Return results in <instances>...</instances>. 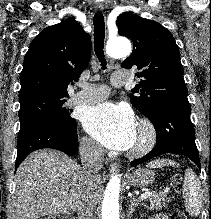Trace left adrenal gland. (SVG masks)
Returning a JSON list of instances; mask_svg holds the SVG:
<instances>
[{"label": "left adrenal gland", "mask_w": 211, "mask_h": 219, "mask_svg": "<svg viewBox=\"0 0 211 219\" xmlns=\"http://www.w3.org/2000/svg\"><path fill=\"white\" fill-rule=\"evenodd\" d=\"M137 206H138V202L136 199L133 198V200L130 201V206L127 212L128 219H131L133 217V212Z\"/></svg>", "instance_id": "left-adrenal-gland-1"}]
</instances>
